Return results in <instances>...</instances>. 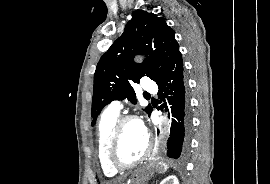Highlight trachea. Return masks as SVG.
<instances>
[{"mask_svg": "<svg viewBox=\"0 0 270 184\" xmlns=\"http://www.w3.org/2000/svg\"><path fill=\"white\" fill-rule=\"evenodd\" d=\"M145 96H147V97H148V96H150V95L146 94Z\"/></svg>", "mask_w": 270, "mask_h": 184, "instance_id": "trachea-1", "label": "trachea"}]
</instances>
